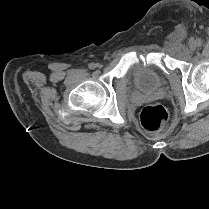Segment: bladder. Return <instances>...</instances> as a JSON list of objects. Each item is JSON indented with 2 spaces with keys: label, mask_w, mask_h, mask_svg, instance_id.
<instances>
[{
  "label": "bladder",
  "mask_w": 209,
  "mask_h": 209,
  "mask_svg": "<svg viewBox=\"0 0 209 209\" xmlns=\"http://www.w3.org/2000/svg\"><path fill=\"white\" fill-rule=\"evenodd\" d=\"M133 77L136 87L144 94L151 95L162 85V76L152 66L136 67Z\"/></svg>",
  "instance_id": "obj_1"
}]
</instances>
